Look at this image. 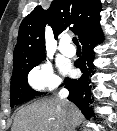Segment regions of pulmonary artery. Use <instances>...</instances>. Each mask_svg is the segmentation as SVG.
Returning <instances> with one entry per match:
<instances>
[{"instance_id":"1","label":"pulmonary artery","mask_w":117,"mask_h":131,"mask_svg":"<svg viewBox=\"0 0 117 131\" xmlns=\"http://www.w3.org/2000/svg\"><path fill=\"white\" fill-rule=\"evenodd\" d=\"M71 40L69 37H64L61 39L59 44V51L68 57H72L75 55L76 50L75 48L70 44Z\"/></svg>"}]
</instances>
